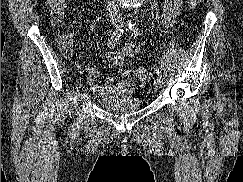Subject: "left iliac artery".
<instances>
[{
    "instance_id": "obj_1",
    "label": "left iliac artery",
    "mask_w": 243,
    "mask_h": 182,
    "mask_svg": "<svg viewBox=\"0 0 243 182\" xmlns=\"http://www.w3.org/2000/svg\"><path fill=\"white\" fill-rule=\"evenodd\" d=\"M129 29L132 32V34L134 35V37H138V36L142 35L141 31L133 23L129 24ZM157 74H158V76L161 77V70L159 68L157 70Z\"/></svg>"
}]
</instances>
